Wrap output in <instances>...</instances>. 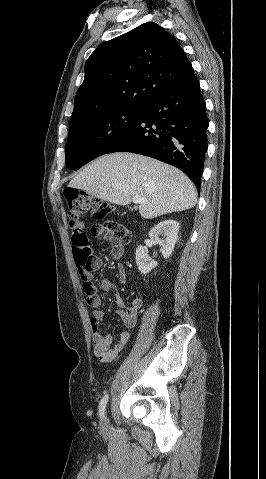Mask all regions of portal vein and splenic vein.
I'll list each match as a JSON object with an SVG mask.
<instances>
[{
    "label": "portal vein and splenic vein",
    "instance_id": "obj_1",
    "mask_svg": "<svg viewBox=\"0 0 266 479\" xmlns=\"http://www.w3.org/2000/svg\"><path fill=\"white\" fill-rule=\"evenodd\" d=\"M132 201L135 204H141V203L145 202L146 200L144 198H141L140 196H135V197H133Z\"/></svg>",
    "mask_w": 266,
    "mask_h": 479
}]
</instances>
